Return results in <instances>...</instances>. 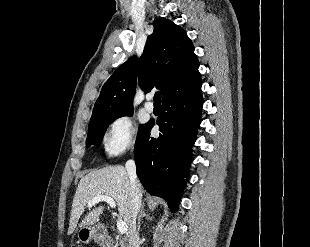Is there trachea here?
<instances>
[{
    "label": "trachea",
    "instance_id": "1",
    "mask_svg": "<svg viewBox=\"0 0 310 247\" xmlns=\"http://www.w3.org/2000/svg\"><path fill=\"white\" fill-rule=\"evenodd\" d=\"M154 103L156 104H160L161 103V93L160 92H156L154 95Z\"/></svg>",
    "mask_w": 310,
    "mask_h": 247
}]
</instances>
